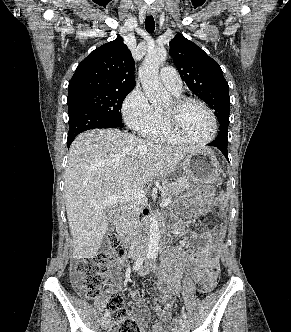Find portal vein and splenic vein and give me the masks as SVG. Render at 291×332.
<instances>
[{
  "instance_id": "1",
  "label": "portal vein and splenic vein",
  "mask_w": 291,
  "mask_h": 332,
  "mask_svg": "<svg viewBox=\"0 0 291 332\" xmlns=\"http://www.w3.org/2000/svg\"><path fill=\"white\" fill-rule=\"evenodd\" d=\"M145 196H146L145 192L140 189L123 191V192L118 193V194L112 196L111 198H109L105 202V205L123 203V202L132 201V200L140 201ZM169 203H171V200L167 199V200L162 201V203L160 205L167 206Z\"/></svg>"
}]
</instances>
